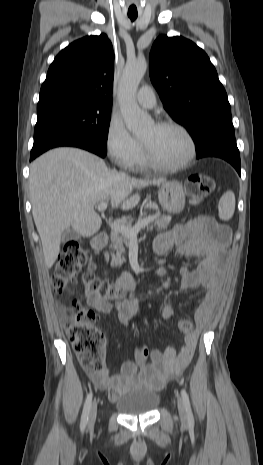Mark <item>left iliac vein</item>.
<instances>
[{
    "mask_svg": "<svg viewBox=\"0 0 263 465\" xmlns=\"http://www.w3.org/2000/svg\"><path fill=\"white\" fill-rule=\"evenodd\" d=\"M177 407H178V412H179L181 421L186 422L187 421L186 411H185L184 404L180 397L177 398Z\"/></svg>",
    "mask_w": 263,
    "mask_h": 465,
    "instance_id": "obj_1",
    "label": "left iliac vein"
}]
</instances>
